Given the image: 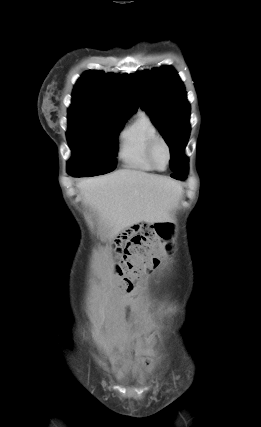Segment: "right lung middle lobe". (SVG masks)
<instances>
[{
    "instance_id": "dd1d6c3e",
    "label": "right lung middle lobe",
    "mask_w": 261,
    "mask_h": 427,
    "mask_svg": "<svg viewBox=\"0 0 261 427\" xmlns=\"http://www.w3.org/2000/svg\"><path fill=\"white\" fill-rule=\"evenodd\" d=\"M126 119L91 114L68 115L72 150L68 173L77 177L105 174L116 168L117 137Z\"/></svg>"
}]
</instances>
